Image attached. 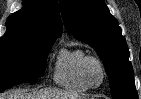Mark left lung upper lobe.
<instances>
[{"label": "left lung upper lobe", "instance_id": "5c2ea615", "mask_svg": "<svg viewBox=\"0 0 141 99\" xmlns=\"http://www.w3.org/2000/svg\"><path fill=\"white\" fill-rule=\"evenodd\" d=\"M69 34L92 46L110 79L113 99H137L129 50L117 20L103 0H61Z\"/></svg>", "mask_w": 141, "mask_h": 99}]
</instances>
